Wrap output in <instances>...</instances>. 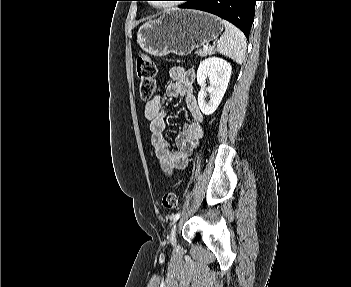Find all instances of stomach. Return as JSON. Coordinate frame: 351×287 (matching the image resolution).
Masks as SVG:
<instances>
[{
	"label": "stomach",
	"mask_w": 351,
	"mask_h": 287,
	"mask_svg": "<svg viewBox=\"0 0 351 287\" xmlns=\"http://www.w3.org/2000/svg\"><path fill=\"white\" fill-rule=\"evenodd\" d=\"M223 31L220 18L197 10H170L143 24L137 33L140 48L154 56H185L216 39Z\"/></svg>",
	"instance_id": "obj_1"
}]
</instances>
